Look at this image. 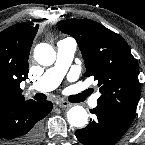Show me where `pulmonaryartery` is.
<instances>
[{"mask_svg":"<svg viewBox=\"0 0 145 145\" xmlns=\"http://www.w3.org/2000/svg\"><path fill=\"white\" fill-rule=\"evenodd\" d=\"M77 43L73 38H65L57 43V59L53 67L48 69L37 83L30 86L29 91L48 92L55 89L69 69ZM99 94L93 96L89 102L91 107L97 106Z\"/></svg>","mask_w":145,"mask_h":145,"instance_id":"pulmonary-artery-1","label":"pulmonary artery"}]
</instances>
